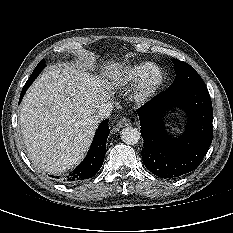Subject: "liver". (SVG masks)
Wrapping results in <instances>:
<instances>
[{
    "label": "liver",
    "instance_id": "1",
    "mask_svg": "<svg viewBox=\"0 0 233 233\" xmlns=\"http://www.w3.org/2000/svg\"><path fill=\"white\" fill-rule=\"evenodd\" d=\"M108 78L118 79L112 64ZM112 84L90 76L86 64L45 69L26 92L20 126L30 161L50 174L78 164L87 152L99 121L96 113L110 103Z\"/></svg>",
    "mask_w": 233,
    "mask_h": 233
}]
</instances>
